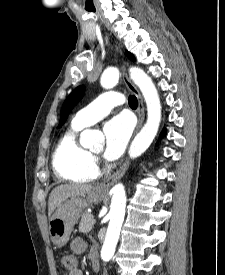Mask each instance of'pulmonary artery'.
<instances>
[{
    "instance_id": "1",
    "label": "pulmonary artery",
    "mask_w": 225,
    "mask_h": 275,
    "mask_svg": "<svg viewBox=\"0 0 225 275\" xmlns=\"http://www.w3.org/2000/svg\"><path fill=\"white\" fill-rule=\"evenodd\" d=\"M122 104H124V98L121 94L113 91L105 92L78 111L73 118V124L82 127L92 125L106 116L114 107Z\"/></svg>"
}]
</instances>
